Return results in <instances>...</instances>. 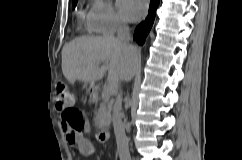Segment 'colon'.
<instances>
[{"instance_id": "1", "label": "colon", "mask_w": 242, "mask_h": 160, "mask_svg": "<svg viewBox=\"0 0 242 160\" xmlns=\"http://www.w3.org/2000/svg\"><path fill=\"white\" fill-rule=\"evenodd\" d=\"M72 94L65 82H58L56 85L55 104L61 111V119L68 123L69 127L76 132L82 131L85 126L83 113L72 107Z\"/></svg>"}]
</instances>
